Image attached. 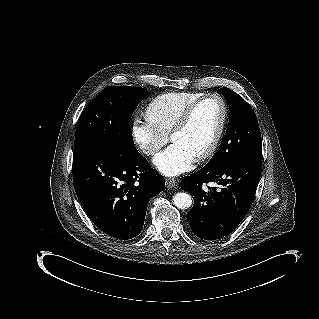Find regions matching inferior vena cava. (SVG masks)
Wrapping results in <instances>:
<instances>
[{"mask_svg":"<svg viewBox=\"0 0 319 319\" xmlns=\"http://www.w3.org/2000/svg\"><path fill=\"white\" fill-rule=\"evenodd\" d=\"M157 149L152 145H145L143 148V152L147 155L154 153Z\"/></svg>","mask_w":319,"mask_h":319,"instance_id":"obj_1","label":"inferior vena cava"}]
</instances>
